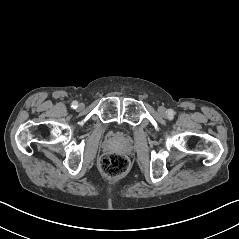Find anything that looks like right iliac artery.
<instances>
[{
    "label": "right iliac artery",
    "mask_w": 239,
    "mask_h": 239,
    "mask_svg": "<svg viewBox=\"0 0 239 239\" xmlns=\"http://www.w3.org/2000/svg\"><path fill=\"white\" fill-rule=\"evenodd\" d=\"M77 106H78V102L73 101L72 104H71V107L75 109V108H77Z\"/></svg>",
    "instance_id": "82829eb1"
}]
</instances>
